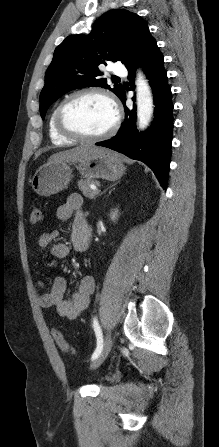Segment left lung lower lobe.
I'll use <instances>...</instances> for the list:
<instances>
[{"instance_id": "0a47b994", "label": "left lung lower lobe", "mask_w": 219, "mask_h": 447, "mask_svg": "<svg viewBox=\"0 0 219 447\" xmlns=\"http://www.w3.org/2000/svg\"><path fill=\"white\" fill-rule=\"evenodd\" d=\"M136 60H139L152 88L155 104L153 123L145 132L137 133L136 107L134 105L132 110L126 107V92L124 91L120 98L125 108L123 125L114 137L98 142L96 145L113 149L132 159L144 162L153 170L161 186L165 188L171 156L173 103L163 66V55L151 34L147 36L133 58L125 64L130 80L135 76ZM132 99L135 100L134 97Z\"/></svg>"}]
</instances>
